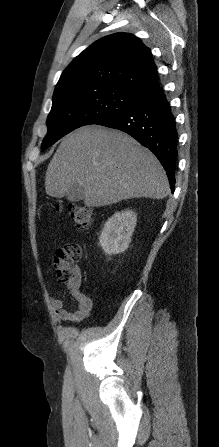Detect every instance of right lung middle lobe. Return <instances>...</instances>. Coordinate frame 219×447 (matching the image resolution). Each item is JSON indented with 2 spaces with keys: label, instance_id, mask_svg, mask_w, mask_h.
I'll return each mask as SVG.
<instances>
[{
  "label": "right lung middle lobe",
  "instance_id": "dd1d6c3e",
  "mask_svg": "<svg viewBox=\"0 0 219 447\" xmlns=\"http://www.w3.org/2000/svg\"><path fill=\"white\" fill-rule=\"evenodd\" d=\"M139 101L135 96L109 85H76L54 92L47 118L48 132L41 150L69 132L119 113Z\"/></svg>",
  "mask_w": 219,
  "mask_h": 447
}]
</instances>
